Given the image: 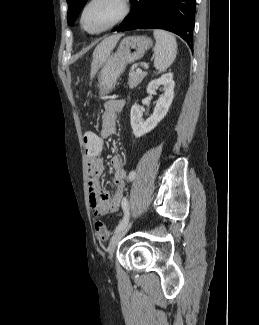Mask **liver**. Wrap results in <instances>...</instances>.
<instances>
[{
    "label": "liver",
    "mask_w": 259,
    "mask_h": 325,
    "mask_svg": "<svg viewBox=\"0 0 259 325\" xmlns=\"http://www.w3.org/2000/svg\"><path fill=\"white\" fill-rule=\"evenodd\" d=\"M122 34L112 35L104 39L93 52V60L91 65V75H95L104 61L108 58Z\"/></svg>",
    "instance_id": "obj_1"
}]
</instances>
